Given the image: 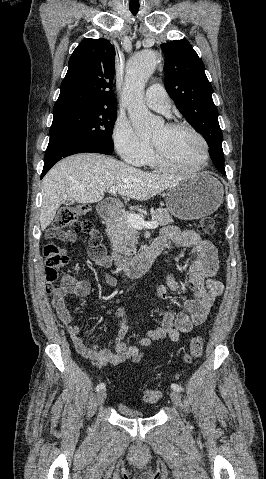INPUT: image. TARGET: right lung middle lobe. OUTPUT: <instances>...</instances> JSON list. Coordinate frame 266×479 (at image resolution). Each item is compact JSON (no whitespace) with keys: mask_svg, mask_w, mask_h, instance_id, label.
<instances>
[{"mask_svg":"<svg viewBox=\"0 0 266 479\" xmlns=\"http://www.w3.org/2000/svg\"><path fill=\"white\" fill-rule=\"evenodd\" d=\"M53 114L50 138L90 142L114 150L112 132L117 109H76Z\"/></svg>","mask_w":266,"mask_h":479,"instance_id":"1","label":"right lung middle lobe"}]
</instances>
